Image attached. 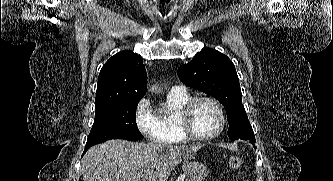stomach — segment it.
I'll return each mask as SVG.
<instances>
[{
    "label": "stomach",
    "mask_w": 333,
    "mask_h": 181,
    "mask_svg": "<svg viewBox=\"0 0 333 181\" xmlns=\"http://www.w3.org/2000/svg\"><path fill=\"white\" fill-rule=\"evenodd\" d=\"M195 153L186 152L184 155L183 171L189 179L193 181H203L208 175L206 166L199 161H195Z\"/></svg>",
    "instance_id": "obj_1"
}]
</instances>
